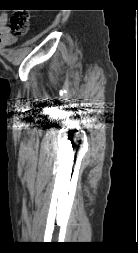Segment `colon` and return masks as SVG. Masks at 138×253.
Listing matches in <instances>:
<instances>
[{
	"label": "colon",
	"mask_w": 138,
	"mask_h": 253,
	"mask_svg": "<svg viewBox=\"0 0 138 253\" xmlns=\"http://www.w3.org/2000/svg\"><path fill=\"white\" fill-rule=\"evenodd\" d=\"M29 26V17L24 12H18L11 17V32L16 36L23 35Z\"/></svg>",
	"instance_id": "obj_1"
}]
</instances>
